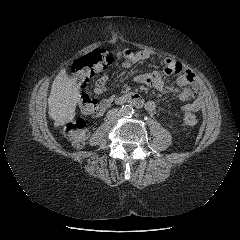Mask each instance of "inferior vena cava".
<instances>
[{"label": "inferior vena cava", "mask_w": 240, "mask_h": 240, "mask_svg": "<svg viewBox=\"0 0 240 240\" xmlns=\"http://www.w3.org/2000/svg\"><path fill=\"white\" fill-rule=\"evenodd\" d=\"M107 118L110 121H117L118 119L121 118V113L118 109L114 108L108 111L107 113Z\"/></svg>", "instance_id": "1"}]
</instances>
